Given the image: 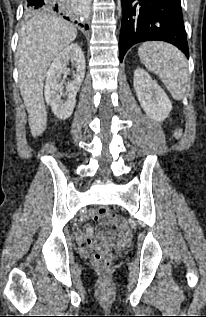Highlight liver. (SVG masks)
I'll list each match as a JSON object with an SVG mask.
<instances>
[{
	"instance_id": "liver-1",
	"label": "liver",
	"mask_w": 206,
	"mask_h": 317,
	"mask_svg": "<svg viewBox=\"0 0 206 317\" xmlns=\"http://www.w3.org/2000/svg\"><path fill=\"white\" fill-rule=\"evenodd\" d=\"M76 36L77 30L73 24L51 13L38 14L20 28L17 48L19 88L33 137L41 135L47 126L43 98L47 69Z\"/></svg>"
}]
</instances>
